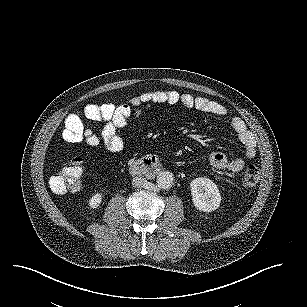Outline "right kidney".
<instances>
[{
	"label": "right kidney",
	"instance_id": "1",
	"mask_svg": "<svg viewBox=\"0 0 307 307\" xmlns=\"http://www.w3.org/2000/svg\"><path fill=\"white\" fill-rule=\"evenodd\" d=\"M103 195L101 193L94 194L88 201V206L91 209H96L100 206L102 202Z\"/></svg>",
	"mask_w": 307,
	"mask_h": 307
}]
</instances>
